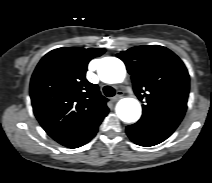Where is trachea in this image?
<instances>
[{"label":"trachea","instance_id":"trachea-1","mask_svg":"<svg viewBox=\"0 0 212 183\" xmlns=\"http://www.w3.org/2000/svg\"><path fill=\"white\" fill-rule=\"evenodd\" d=\"M103 92H104L105 96H107V97H112L115 95V89L111 86H104Z\"/></svg>","mask_w":212,"mask_h":183}]
</instances>
